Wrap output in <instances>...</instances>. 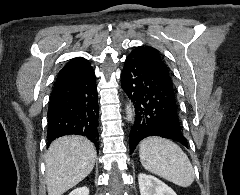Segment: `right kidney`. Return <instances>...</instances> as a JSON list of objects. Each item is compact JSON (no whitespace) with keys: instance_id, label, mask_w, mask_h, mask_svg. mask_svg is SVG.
I'll return each instance as SVG.
<instances>
[{"instance_id":"ca27d5eb","label":"right kidney","mask_w":240,"mask_h":195,"mask_svg":"<svg viewBox=\"0 0 240 195\" xmlns=\"http://www.w3.org/2000/svg\"><path fill=\"white\" fill-rule=\"evenodd\" d=\"M69 195H89V187H86V185L77 187V189H73Z\"/></svg>"}]
</instances>
